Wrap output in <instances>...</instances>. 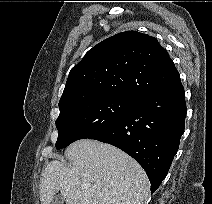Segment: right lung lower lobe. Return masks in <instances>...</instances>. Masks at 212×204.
<instances>
[{"mask_svg": "<svg viewBox=\"0 0 212 204\" xmlns=\"http://www.w3.org/2000/svg\"><path fill=\"white\" fill-rule=\"evenodd\" d=\"M185 116V92L178 81L136 99L119 122L88 139L109 143L132 156L146 171L154 193L178 150Z\"/></svg>", "mask_w": 212, "mask_h": 204, "instance_id": "98d812e1", "label": "right lung lower lobe"}]
</instances>
